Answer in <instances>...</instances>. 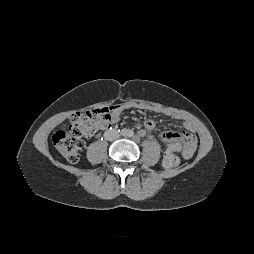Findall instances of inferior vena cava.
Returning a JSON list of instances; mask_svg holds the SVG:
<instances>
[{"mask_svg":"<svg viewBox=\"0 0 254 254\" xmlns=\"http://www.w3.org/2000/svg\"><path fill=\"white\" fill-rule=\"evenodd\" d=\"M119 136H120L119 132L115 129L107 130L104 133V138L108 141H114V140L118 139Z\"/></svg>","mask_w":254,"mask_h":254,"instance_id":"602c4592","label":"inferior vena cava"}]
</instances>
